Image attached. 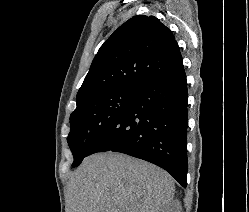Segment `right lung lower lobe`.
Segmentation results:
<instances>
[{
    "label": "right lung lower lobe",
    "instance_id": "1",
    "mask_svg": "<svg viewBox=\"0 0 249 212\" xmlns=\"http://www.w3.org/2000/svg\"><path fill=\"white\" fill-rule=\"evenodd\" d=\"M187 119V83L181 63L142 87L93 144L89 155L125 153L165 169L186 187Z\"/></svg>",
    "mask_w": 249,
    "mask_h": 212
}]
</instances>
